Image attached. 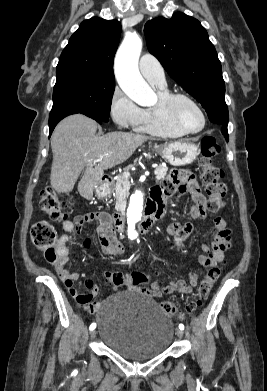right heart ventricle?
I'll return each instance as SVG.
<instances>
[{
    "label": "right heart ventricle",
    "instance_id": "right-heart-ventricle-1",
    "mask_svg": "<svg viewBox=\"0 0 267 391\" xmlns=\"http://www.w3.org/2000/svg\"><path fill=\"white\" fill-rule=\"evenodd\" d=\"M157 90L159 100L169 94L166 87ZM141 133L150 134L162 138H178L185 135L182 131L173 126L160 112L158 104L142 109V116L139 123L134 128Z\"/></svg>",
    "mask_w": 267,
    "mask_h": 391
}]
</instances>
